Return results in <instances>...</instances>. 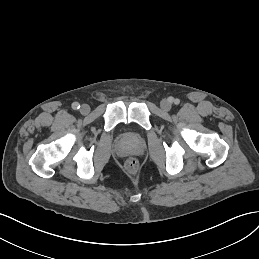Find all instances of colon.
<instances>
[{
  "mask_svg": "<svg viewBox=\"0 0 259 259\" xmlns=\"http://www.w3.org/2000/svg\"><path fill=\"white\" fill-rule=\"evenodd\" d=\"M125 167L130 172H135L138 168V161L135 158H129L125 162Z\"/></svg>",
  "mask_w": 259,
  "mask_h": 259,
  "instance_id": "obj_1",
  "label": "colon"
}]
</instances>
